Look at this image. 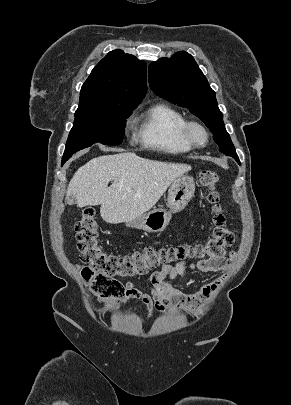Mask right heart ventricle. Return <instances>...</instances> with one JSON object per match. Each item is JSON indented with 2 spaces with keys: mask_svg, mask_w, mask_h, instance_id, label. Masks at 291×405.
I'll list each match as a JSON object with an SVG mask.
<instances>
[{
  "mask_svg": "<svg viewBox=\"0 0 291 405\" xmlns=\"http://www.w3.org/2000/svg\"><path fill=\"white\" fill-rule=\"evenodd\" d=\"M185 117L166 103L150 106L138 119L137 139L144 146L169 154L188 153L192 147L183 139Z\"/></svg>",
  "mask_w": 291,
  "mask_h": 405,
  "instance_id": "right-heart-ventricle-1",
  "label": "right heart ventricle"
}]
</instances>
